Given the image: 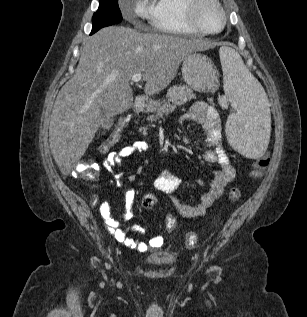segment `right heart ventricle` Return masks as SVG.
<instances>
[{
	"label": "right heart ventricle",
	"instance_id": "right-heart-ventricle-1",
	"mask_svg": "<svg viewBox=\"0 0 307 317\" xmlns=\"http://www.w3.org/2000/svg\"><path fill=\"white\" fill-rule=\"evenodd\" d=\"M187 0H156L152 15L155 30L172 34H201L188 20Z\"/></svg>",
	"mask_w": 307,
	"mask_h": 317
}]
</instances>
